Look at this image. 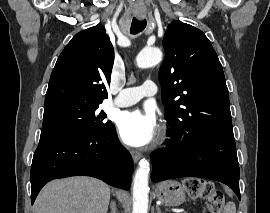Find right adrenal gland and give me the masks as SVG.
<instances>
[{"mask_svg": "<svg viewBox=\"0 0 270 213\" xmlns=\"http://www.w3.org/2000/svg\"><path fill=\"white\" fill-rule=\"evenodd\" d=\"M111 209H112V212L111 213H116V208H115V204L114 202H111Z\"/></svg>", "mask_w": 270, "mask_h": 213, "instance_id": "right-adrenal-gland-1", "label": "right adrenal gland"}]
</instances>
